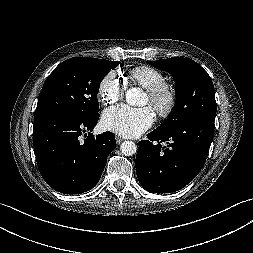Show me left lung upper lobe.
<instances>
[{
    "label": "left lung upper lobe",
    "mask_w": 253,
    "mask_h": 253,
    "mask_svg": "<svg viewBox=\"0 0 253 253\" xmlns=\"http://www.w3.org/2000/svg\"><path fill=\"white\" fill-rule=\"evenodd\" d=\"M148 63L160 70L168 71L176 82L175 107L157 130L169 132L199 116L215 118L217 107L214 86L208 73L198 63L183 57L148 61Z\"/></svg>",
    "instance_id": "1"
}]
</instances>
